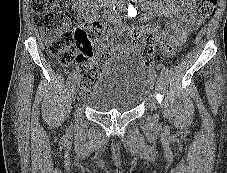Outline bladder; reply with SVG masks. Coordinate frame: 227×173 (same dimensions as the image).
Instances as JSON below:
<instances>
[{"mask_svg":"<svg viewBox=\"0 0 227 173\" xmlns=\"http://www.w3.org/2000/svg\"><path fill=\"white\" fill-rule=\"evenodd\" d=\"M145 92L144 66L127 57L112 61L102 69L86 103L101 113H125L134 110L143 101Z\"/></svg>","mask_w":227,"mask_h":173,"instance_id":"bladder-1","label":"bladder"}]
</instances>
